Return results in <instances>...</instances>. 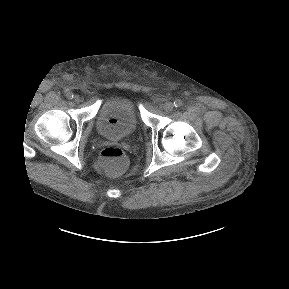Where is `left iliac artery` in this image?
Here are the masks:
<instances>
[{"label": "left iliac artery", "instance_id": "obj_1", "mask_svg": "<svg viewBox=\"0 0 289 289\" xmlns=\"http://www.w3.org/2000/svg\"><path fill=\"white\" fill-rule=\"evenodd\" d=\"M174 106H175L176 108L181 107V106H182V101H181L180 99H176V100L174 101Z\"/></svg>", "mask_w": 289, "mask_h": 289}]
</instances>
